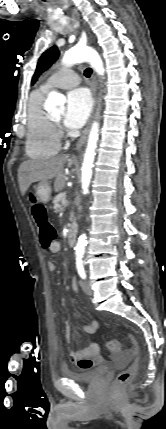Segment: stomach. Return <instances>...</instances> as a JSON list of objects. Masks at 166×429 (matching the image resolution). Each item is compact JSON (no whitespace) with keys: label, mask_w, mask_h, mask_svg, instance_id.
Wrapping results in <instances>:
<instances>
[{"label":"stomach","mask_w":166,"mask_h":429,"mask_svg":"<svg viewBox=\"0 0 166 429\" xmlns=\"http://www.w3.org/2000/svg\"><path fill=\"white\" fill-rule=\"evenodd\" d=\"M33 195L42 203H47L51 197V188L49 184L40 183L34 190Z\"/></svg>","instance_id":"0dacf381"}]
</instances>
